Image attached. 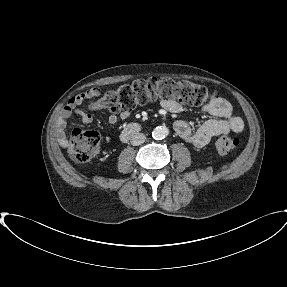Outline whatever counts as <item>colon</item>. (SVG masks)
Wrapping results in <instances>:
<instances>
[{
  "label": "colon",
  "instance_id": "colon-1",
  "mask_svg": "<svg viewBox=\"0 0 287 287\" xmlns=\"http://www.w3.org/2000/svg\"><path fill=\"white\" fill-rule=\"evenodd\" d=\"M216 97L215 92L201 85L168 78H150L136 80L131 84L107 91L101 99L93 103L92 108L129 111L137 105L157 99L175 100L198 107L211 103ZM100 141L96 131L76 128L66 143L67 152L73 161L87 163L99 150ZM214 146L220 154H232L240 148L241 140L238 137H222Z\"/></svg>",
  "mask_w": 287,
  "mask_h": 287
}]
</instances>
